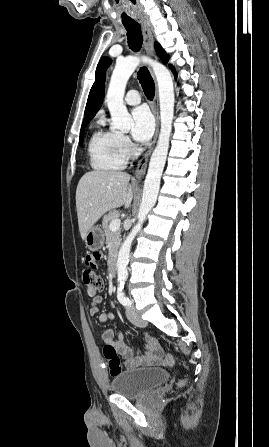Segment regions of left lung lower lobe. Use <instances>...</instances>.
<instances>
[{
  "label": "left lung lower lobe",
  "instance_id": "1",
  "mask_svg": "<svg viewBox=\"0 0 269 447\" xmlns=\"http://www.w3.org/2000/svg\"><path fill=\"white\" fill-rule=\"evenodd\" d=\"M171 70L175 73V70L173 69V67L170 65Z\"/></svg>",
  "mask_w": 269,
  "mask_h": 447
}]
</instances>
